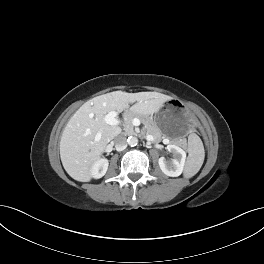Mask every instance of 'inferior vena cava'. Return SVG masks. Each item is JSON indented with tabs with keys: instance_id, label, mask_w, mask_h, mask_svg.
Wrapping results in <instances>:
<instances>
[{
	"instance_id": "602c4592",
	"label": "inferior vena cava",
	"mask_w": 264,
	"mask_h": 264,
	"mask_svg": "<svg viewBox=\"0 0 264 264\" xmlns=\"http://www.w3.org/2000/svg\"><path fill=\"white\" fill-rule=\"evenodd\" d=\"M114 145L117 151H122L127 147L126 137L123 135H118L114 138Z\"/></svg>"
}]
</instances>
